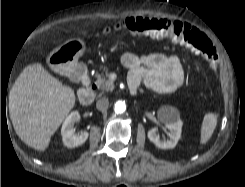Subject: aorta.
<instances>
[{
	"mask_svg": "<svg viewBox=\"0 0 245 187\" xmlns=\"http://www.w3.org/2000/svg\"><path fill=\"white\" fill-rule=\"evenodd\" d=\"M125 110H126V104L124 101H117L115 103L114 111L117 114L123 113V112H125Z\"/></svg>",
	"mask_w": 245,
	"mask_h": 187,
	"instance_id": "obj_1",
	"label": "aorta"
}]
</instances>
